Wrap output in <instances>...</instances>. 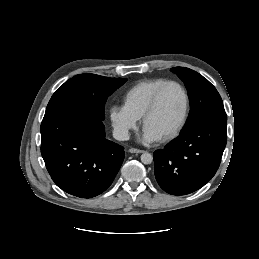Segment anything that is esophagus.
<instances>
[{"label":"esophagus","mask_w":259,"mask_h":259,"mask_svg":"<svg viewBox=\"0 0 259 259\" xmlns=\"http://www.w3.org/2000/svg\"><path fill=\"white\" fill-rule=\"evenodd\" d=\"M129 152L130 153H143L144 152V150H140V149H136V148H130L129 149Z\"/></svg>","instance_id":"1"}]
</instances>
